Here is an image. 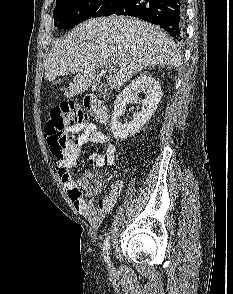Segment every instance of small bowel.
Masks as SVG:
<instances>
[{
	"instance_id": "obj_1",
	"label": "small bowel",
	"mask_w": 233,
	"mask_h": 294,
	"mask_svg": "<svg viewBox=\"0 0 233 294\" xmlns=\"http://www.w3.org/2000/svg\"><path fill=\"white\" fill-rule=\"evenodd\" d=\"M70 134L78 135V137L68 147L64 158L58 160L56 171L63 186L68 191L76 209L93 227H98L106 215L113 209L118 198L122 194L124 183L121 180L115 181L111 185L109 192L95 203L93 200H86L75 194L76 183L70 173V169L76 165L81 154V147L84 144L91 142L105 146L104 153H93L89 157V163L96 167H102L105 165L112 166L115 163V153L117 148L112 143L110 137L99 131L97 125L92 122L75 125L70 130Z\"/></svg>"
}]
</instances>
